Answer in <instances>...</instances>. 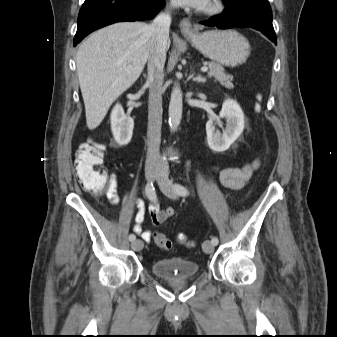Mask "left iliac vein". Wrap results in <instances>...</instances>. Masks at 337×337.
Masks as SVG:
<instances>
[{
	"instance_id": "obj_1",
	"label": "left iliac vein",
	"mask_w": 337,
	"mask_h": 337,
	"mask_svg": "<svg viewBox=\"0 0 337 337\" xmlns=\"http://www.w3.org/2000/svg\"><path fill=\"white\" fill-rule=\"evenodd\" d=\"M157 183L161 189V191L169 198L171 199H176L177 195L174 191V187L172 185V182L169 180L168 175H167V171H166V167L161 168L159 174L156 177ZM203 251L205 253H212L214 250V244L209 241L206 240L203 242Z\"/></svg>"
}]
</instances>
